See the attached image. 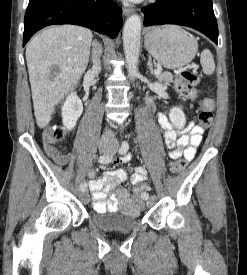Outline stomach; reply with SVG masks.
Here are the masks:
<instances>
[{
	"label": "stomach",
	"instance_id": "1",
	"mask_svg": "<svg viewBox=\"0 0 247 275\" xmlns=\"http://www.w3.org/2000/svg\"><path fill=\"white\" fill-rule=\"evenodd\" d=\"M147 51L165 68L176 69L191 62L198 50L197 40L178 26L149 29L145 35Z\"/></svg>",
	"mask_w": 247,
	"mask_h": 275
}]
</instances>
